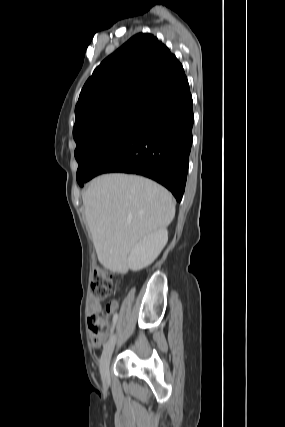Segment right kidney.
<instances>
[{
	"instance_id": "right-kidney-1",
	"label": "right kidney",
	"mask_w": 285,
	"mask_h": 427,
	"mask_svg": "<svg viewBox=\"0 0 285 427\" xmlns=\"http://www.w3.org/2000/svg\"><path fill=\"white\" fill-rule=\"evenodd\" d=\"M168 241V231L161 228L142 238L131 250L127 266L132 271L148 267L161 253Z\"/></svg>"
}]
</instances>
